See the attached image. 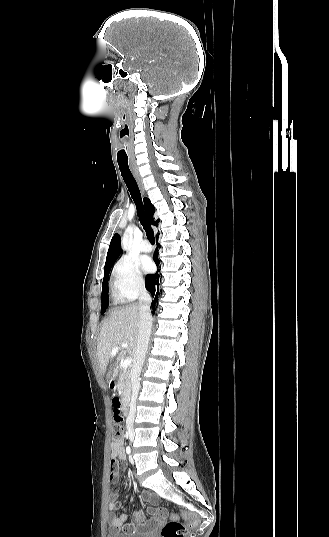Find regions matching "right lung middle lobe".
<instances>
[{
	"label": "right lung middle lobe",
	"mask_w": 329,
	"mask_h": 537,
	"mask_svg": "<svg viewBox=\"0 0 329 537\" xmlns=\"http://www.w3.org/2000/svg\"><path fill=\"white\" fill-rule=\"evenodd\" d=\"M111 267H112V265L104 270V278H103V283H102V307H101V310H102L103 313L106 311V309L108 307V299H109V296H108V277H109Z\"/></svg>",
	"instance_id": "1"
}]
</instances>
